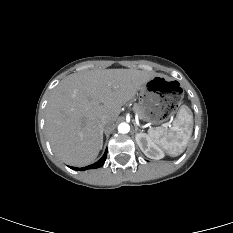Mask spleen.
<instances>
[{"mask_svg":"<svg viewBox=\"0 0 233 233\" xmlns=\"http://www.w3.org/2000/svg\"><path fill=\"white\" fill-rule=\"evenodd\" d=\"M193 131L191 109L182 105L169 129L157 127L149 130V137L170 156H178L185 150Z\"/></svg>","mask_w":233,"mask_h":233,"instance_id":"3e777b00","label":"spleen"}]
</instances>
